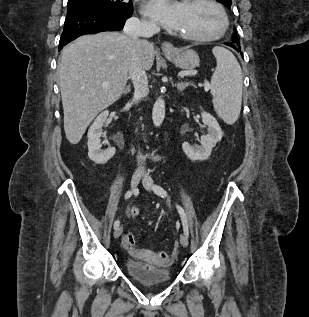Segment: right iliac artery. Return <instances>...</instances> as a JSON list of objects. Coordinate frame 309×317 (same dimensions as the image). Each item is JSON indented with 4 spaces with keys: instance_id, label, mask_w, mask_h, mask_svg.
<instances>
[{
    "instance_id": "obj_1",
    "label": "right iliac artery",
    "mask_w": 309,
    "mask_h": 317,
    "mask_svg": "<svg viewBox=\"0 0 309 317\" xmlns=\"http://www.w3.org/2000/svg\"><path fill=\"white\" fill-rule=\"evenodd\" d=\"M132 196V191H127L126 194H125V199H129L130 197ZM119 220H116L114 222V229H117L119 227Z\"/></svg>"
}]
</instances>
